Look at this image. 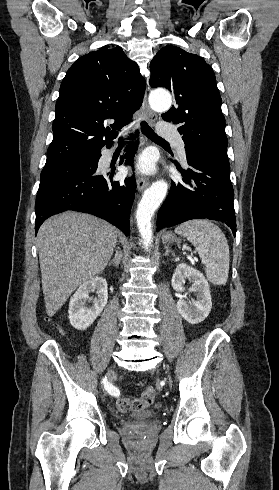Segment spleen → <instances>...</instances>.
Instances as JSON below:
<instances>
[{
	"label": "spleen",
	"instance_id": "3e777b00",
	"mask_svg": "<svg viewBox=\"0 0 279 490\" xmlns=\"http://www.w3.org/2000/svg\"><path fill=\"white\" fill-rule=\"evenodd\" d=\"M175 232L193 244L206 266L207 280L213 286H225L230 266L229 246L220 228L209 220H190Z\"/></svg>",
	"mask_w": 279,
	"mask_h": 490
}]
</instances>
